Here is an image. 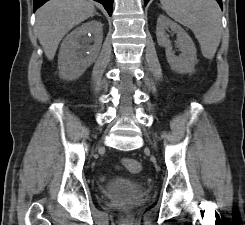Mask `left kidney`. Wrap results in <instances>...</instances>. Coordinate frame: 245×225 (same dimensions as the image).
Segmentation results:
<instances>
[{"mask_svg":"<svg viewBox=\"0 0 245 225\" xmlns=\"http://www.w3.org/2000/svg\"><path fill=\"white\" fill-rule=\"evenodd\" d=\"M167 28L177 33L176 44L181 51L179 56H175L172 51L171 42L165 33ZM156 36L158 44L165 47L167 62L172 70L182 74L194 71L195 64L197 63L196 47L191 37L180 25L164 15H159Z\"/></svg>","mask_w":245,"mask_h":225,"instance_id":"1","label":"left kidney"}]
</instances>
